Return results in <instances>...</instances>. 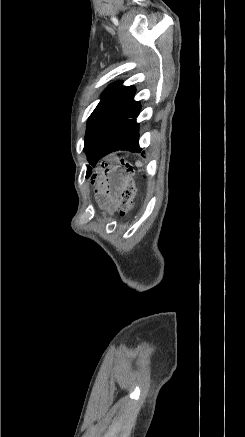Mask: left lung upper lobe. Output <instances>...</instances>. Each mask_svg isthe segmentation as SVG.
<instances>
[{
	"instance_id": "1",
	"label": "left lung upper lobe",
	"mask_w": 245,
	"mask_h": 437,
	"mask_svg": "<svg viewBox=\"0 0 245 437\" xmlns=\"http://www.w3.org/2000/svg\"><path fill=\"white\" fill-rule=\"evenodd\" d=\"M111 84L101 95V101L89 117L85 135L84 151L92 166L116 123L125 115L134 102L135 88ZM88 175L91 168L87 169Z\"/></svg>"
}]
</instances>
